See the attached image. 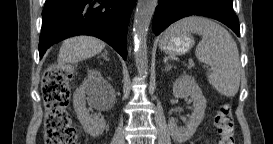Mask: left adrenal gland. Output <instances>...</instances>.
<instances>
[{
    "label": "left adrenal gland",
    "instance_id": "left-adrenal-gland-1",
    "mask_svg": "<svg viewBox=\"0 0 273 144\" xmlns=\"http://www.w3.org/2000/svg\"><path fill=\"white\" fill-rule=\"evenodd\" d=\"M171 68H172V66L165 62V70L168 71Z\"/></svg>",
    "mask_w": 273,
    "mask_h": 144
}]
</instances>
